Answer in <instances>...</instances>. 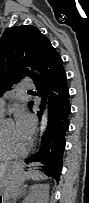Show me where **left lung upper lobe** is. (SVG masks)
<instances>
[{
    "label": "left lung upper lobe",
    "instance_id": "1",
    "mask_svg": "<svg viewBox=\"0 0 89 203\" xmlns=\"http://www.w3.org/2000/svg\"><path fill=\"white\" fill-rule=\"evenodd\" d=\"M51 43L35 26H16L5 30L0 38V96L21 77L33 80L37 74L24 68L40 70L44 51ZM32 103H29V108Z\"/></svg>",
    "mask_w": 89,
    "mask_h": 203
}]
</instances>
